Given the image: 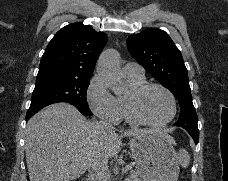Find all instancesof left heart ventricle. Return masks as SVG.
I'll use <instances>...</instances> for the list:
<instances>
[{"label":"left heart ventricle","mask_w":228,"mask_h":181,"mask_svg":"<svg viewBox=\"0 0 228 181\" xmlns=\"http://www.w3.org/2000/svg\"><path fill=\"white\" fill-rule=\"evenodd\" d=\"M139 108L145 118L159 121L169 114L170 105L167 96L163 92L151 88L143 95Z\"/></svg>","instance_id":"1"}]
</instances>
